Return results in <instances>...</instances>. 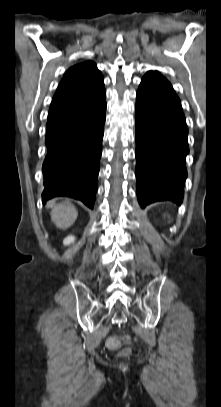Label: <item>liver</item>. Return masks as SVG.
I'll list each match as a JSON object with an SVG mask.
<instances>
[{
	"mask_svg": "<svg viewBox=\"0 0 221 407\" xmlns=\"http://www.w3.org/2000/svg\"><path fill=\"white\" fill-rule=\"evenodd\" d=\"M47 206L52 209L50 212L51 220L59 229H68L77 219V210L68 200L61 203L51 201Z\"/></svg>",
	"mask_w": 221,
	"mask_h": 407,
	"instance_id": "obj_1",
	"label": "liver"
}]
</instances>
